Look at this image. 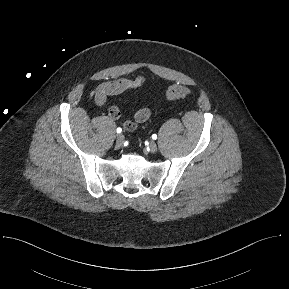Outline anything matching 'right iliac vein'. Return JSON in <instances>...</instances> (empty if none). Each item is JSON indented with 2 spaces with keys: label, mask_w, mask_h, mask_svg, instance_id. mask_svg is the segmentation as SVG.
<instances>
[{
  "label": "right iliac vein",
  "mask_w": 289,
  "mask_h": 289,
  "mask_svg": "<svg viewBox=\"0 0 289 289\" xmlns=\"http://www.w3.org/2000/svg\"><path fill=\"white\" fill-rule=\"evenodd\" d=\"M124 140H125V137L123 134H118L117 137H116V145L118 147H121L124 143Z\"/></svg>",
  "instance_id": "obj_1"
}]
</instances>
